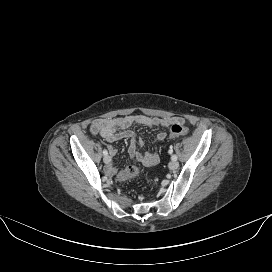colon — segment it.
Masks as SVG:
<instances>
[{
  "instance_id": "1",
  "label": "colon",
  "mask_w": 272,
  "mask_h": 272,
  "mask_svg": "<svg viewBox=\"0 0 272 272\" xmlns=\"http://www.w3.org/2000/svg\"><path fill=\"white\" fill-rule=\"evenodd\" d=\"M188 134V129L182 124H173L170 129V137H180ZM140 171L136 166H128L117 175L119 182H125L139 175Z\"/></svg>"
}]
</instances>
